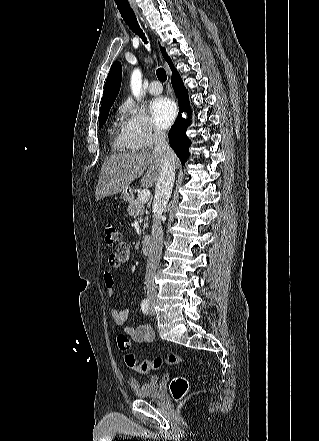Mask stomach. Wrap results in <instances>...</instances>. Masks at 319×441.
<instances>
[{
	"label": "stomach",
	"instance_id": "0dacf381",
	"mask_svg": "<svg viewBox=\"0 0 319 441\" xmlns=\"http://www.w3.org/2000/svg\"><path fill=\"white\" fill-rule=\"evenodd\" d=\"M120 198H121L123 201H127V200L130 198V191H129V190H125V191H123L122 194H121V196H120Z\"/></svg>",
	"mask_w": 319,
	"mask_h": 441
}]
</instances>
